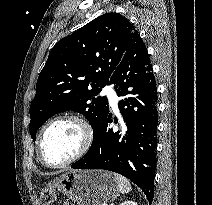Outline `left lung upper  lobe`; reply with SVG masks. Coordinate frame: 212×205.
<instances>
[{"instance_id":"left-lung-upper-lobe-1","label":"left lung upper lobe","mask_w":212,"mask_h":205,"mask_svg":"<svg viewBox=\"0 0 212 205\" xmlns=\"http://www.w3.org/2000/svg\"><path fill=\"white\" fill-rule=\"evenodd\" d=\"M136 34L127 18L106 13L56 43L40 72L30 106L34 141L46 120L69 110L83 113L95 129L109 109L107 98L97 95Z\"/></svg>"}]
</instances>
